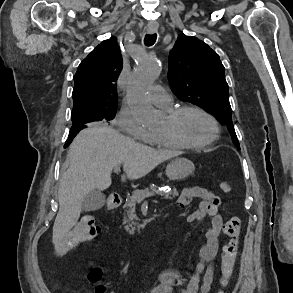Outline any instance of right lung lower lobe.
<instances>
[{
  "label": "right lung lower lobe",
  "mask_w": 293,
  "mask_h": 293,
  "mask_svg": "<svg viewBox=\"0 0 293 293\" xmlns=\"http://www.w3.org/2000/svg\"><path fill=\"white\" fill-rule=\"evenodd\" d=\"M85 127H87L86 124L73 125L71 127L69 137L64 145V148L68 147L70 145V143L72 142L73 138L79 133L80 130L84 129Z\"/></svg>",
  "instance_id": "1"
}]
</instances>
